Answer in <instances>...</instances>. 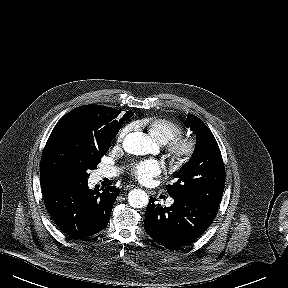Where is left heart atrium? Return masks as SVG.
<instances>
[{"label":"left heart atrium","mask_w":288,"mask_h":288,"mask_svg":"<svg viewBox=\"0 0 288 288\" xmlns=\"http://www.w3.org/2000/svg\"><path fill=\"white\" fill-rule=\"evenodd\" d=\"M132 175L141 183H149L162 172V165L157 160L151 159L140 162L132 168Z\"/></svg>","instance_id":"1"}]
</instances>
